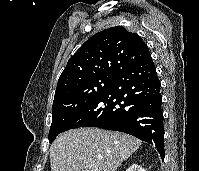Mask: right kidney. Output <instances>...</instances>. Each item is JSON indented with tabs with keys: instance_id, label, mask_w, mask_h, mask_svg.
<instances>
[{
	"instance_id": "ca27d5eb",
	"label": "right kidney",
	"mask_w": 199,
	"mask_h": 171,
	"mask_svg": "<svg viewBox=\"0 0 199 171\" xmlns=\"http://www.w3.org/2000/svg\"><path fill=\"white\" fill-rule=\"evenodd\" d=\"M126 171H146L142 166L138 164H132Z\"/></svg>"
}]
</instances>
